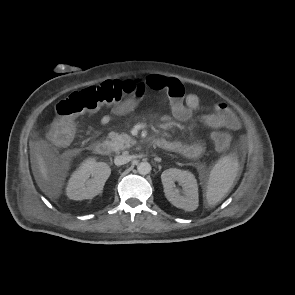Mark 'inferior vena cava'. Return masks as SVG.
I'll list each match as a JSON object with an SVG mask.
<instances>
[{
    "label": "inferior vena cava",
    "instance_id": "inferior-vena-cava-1",
    "mask_svg": "<svg viewBox=\"0 0 295 295\" xmlns=\"http://www.w3.org/2000/svg\"><path fill=\"white\" fill-rule=\"evenodd\" d=\"M131 160V157L128 155H120V156H116L114 159V163L117 166L120 165H124L126 163H128Z\"/></svg>",
    "mask_w": 295,
    "mask_h": 295
}]
</instances>
